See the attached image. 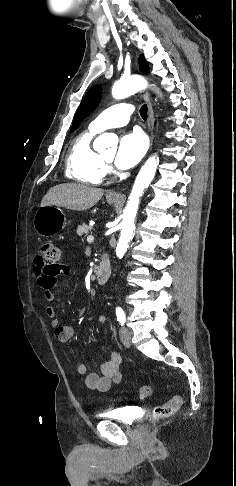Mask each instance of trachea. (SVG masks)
Segmentation results:
<instances>
[{
	"label": "trachea",
	"mask_w": 236,
	"mask_h": 486,
	"mask_svg": "<svg viewBox=\"0 0 236 486\" xmlns=\"http://www.w3.org/2000/svg\"><path fill=\"white\" fill-rule=\"evenodd\" d=\"M147 110H148L147 105H143V106L140 108V115H141V117H142L143 119H145V118H146V116H147Z\"/></svg>",
	"instance_id": "trachea-1"
}]
</instances>
